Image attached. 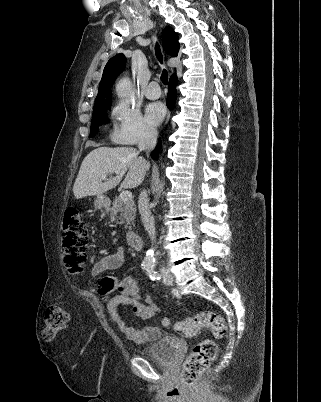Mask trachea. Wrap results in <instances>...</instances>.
<instances>
[{"mask_svg":"<svg viewBox=\"0 0 321 402\" xmlns=\"http://www.w3.org/2000/svg\"><path fill=\"white\" fill-rule=\"evenodd\" d=\"M155 53H156V56H157L159 62L162 64L163 56H162L161 49H160V46L158 43H156V45H155ZM161 81L164 85H167V83H168V73L165 69L163 70V72L161 74Z\"/></svg>","mask_w":321,"mask_h":402,"instance_id":"obj_1","label":"trachea"}]
</instances>
